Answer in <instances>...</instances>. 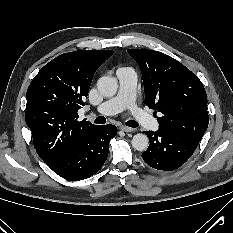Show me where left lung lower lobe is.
<instances>
[{"label": "left lung lower lobe", "mask_w": 233, "mask_h": 233, "mask_svg": "<svg viewBox=\"0 0 233 233\" xmlns=\"http://www.w3.org/2000/svg\"><path fill=\"white\" fill-rule=\"evenodd\" d=\"M145 134L150 144L142 158L150 167L161 171H171L182 166L200 142L189 135L161 128Z\"/></svg>", "instance_id": "0a47b994"}]
</instances>
